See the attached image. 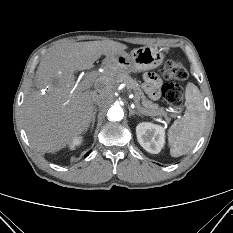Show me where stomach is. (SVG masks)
<instances>
[{
  "label": "stomach",
  "instance_id": "1",
  "mask_svg": "<svg viewBox=\"0 0 233 233\" xmlns=\"http://www.w3.org/2000/svg\"><path fill=\"white\" fill-rule=\"evenodd\" d=\"M165 55L151 46H144L125 51L120 54L106 58V64L111 68H118L125 72H143L160 66Z\"/></svg>",
  "mask_w": 233,
  "mask_h": 233
}]
</instances>
